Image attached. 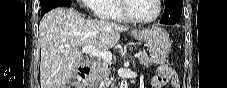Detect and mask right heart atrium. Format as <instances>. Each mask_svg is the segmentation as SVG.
I'll use <instances>...</instances> for the list:
<instances>
[{
  "mask_svg": "<svg viewBox=\"0 0 227 88\" xmlns=\"http://www.w3.org/2000/svg\"><path fill=\"white\" fill-rule=\"evenodd\" d=\"M85 2H91V1H93V0H84Z\"/></svg>",
  "mask_w": 227,
  "mask_h": 88,
  "instance_id": "right-heart-atrium-1",
  "label": "right heart atrium"
}]
</instances>
